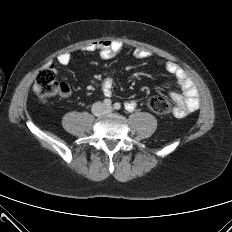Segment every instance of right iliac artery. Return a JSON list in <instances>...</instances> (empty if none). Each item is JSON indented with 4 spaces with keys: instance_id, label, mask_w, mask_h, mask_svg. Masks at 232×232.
Here are the masks:
<instances>
[{
    "instance_id": "1",
    "label": "right iliac artery",
    "mask_w": 232,
    "mask_h": 232,
    "mask_svg": "<svg viewBox=\"0 0 232 232\" xmlns=\"http://www.w3.org/2000/svg\"><path fill=\"white\" fill-rule=\"evenodd\" d=\"M103 102L105 106H110L112 103L110 99H105Z\"/></svg>"
}]
</instances>
